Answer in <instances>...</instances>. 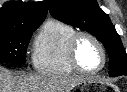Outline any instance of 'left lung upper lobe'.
Here are the masks:
<instances>
[{
	"instance_id": "5c2ea615",
	"label": "left lung upper lobe",
	"mask_w": 127,
	"mask_h": 92,
	"mask_svg": "<svg viewBox=\"0 0 127 92\" xmlns=\"http://www.w3.org/2000/svg\"><path fill=\"white\" fill-rule=\"evenodd\" d=\"M51 15L89 32L101 41L109 56L110 76H127V54L121 39L96 0H49Z\"/></svg>"
}]
</instances>
